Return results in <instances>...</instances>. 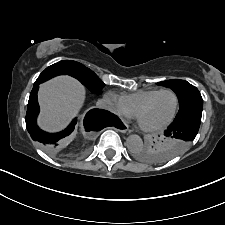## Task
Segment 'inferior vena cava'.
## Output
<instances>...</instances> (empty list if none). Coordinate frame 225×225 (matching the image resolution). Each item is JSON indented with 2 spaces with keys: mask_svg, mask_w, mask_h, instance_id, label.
<instances>
[{
  "mask_svg": "<svg viewBox=\"0 0 225 225\" xmlns=\"http://www.w3.org/2000/svg\"><path fill=\"white\" fill-rule=\"evenodd\" d=\"M97 107L105 110H112V103L106 99H100L97 102Z\"/></svg>",
  "mask_w": 225,
  "mask_h": 225,
  "instance_id": "602c4592",
  "label": "inferior vena cava"
}]
</instances>
